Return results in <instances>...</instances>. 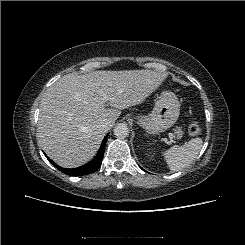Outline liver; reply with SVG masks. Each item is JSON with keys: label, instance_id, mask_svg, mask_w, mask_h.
Returning <instances> with one entry per match:
<instances>
[{"label": "liver", "instance_id": "obj_1", "mask_svg": "<svg viewBox=\"0 0 245 245\" xmlns=\"http://www.w3.org/2000/svg\"><path fill=\"white\" fill-rule=\"evenodd\" d=\"M167 75L148 69L64 75L46 90L40 102L37 130L42 149L65 168L87 163L104 138L101 122L115 121L120 110L141 104ZM102 94L111 108L105 107Z\"/></svg>", "mask_w": 245, "mask_h": 245}]
</instances>
